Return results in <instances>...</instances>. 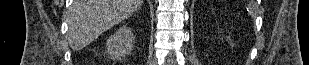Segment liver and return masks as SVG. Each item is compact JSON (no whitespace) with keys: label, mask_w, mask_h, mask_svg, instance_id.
I'll use <instances>...</instances> for the list:
<instances>
[{"label":"liver","mask_w":309,"mask_h":65,"mask_svg":"<svg viewBox=\"0 0 309 65\" xmlns=\"http://www.w3.org/2000/svg\"><path fill=\"white\" fill-rule=\"evenodd\" d=\"M143 0H74L68 16L70 47L80 50L137 11Z\"/></svg>","instance_id":"obj_1"}]
</instances>
